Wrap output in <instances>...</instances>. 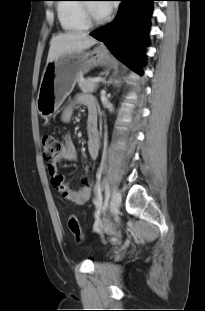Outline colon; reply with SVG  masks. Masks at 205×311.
<instances>
[{"label":"colon","instance_id":"1","mask_svg":"<svg viewBox=\"0 0 205 311\" xmlns=\"http://www.w3.org/2000/svg\"><path fill=\"white\" fill-rule=\"evenodd\" d=\"M42 146L43 158L46 162H50L54 158V156L61 150L62 144L57 138L51 135H45L42 139ZM67 225L75 241L77 243H81L84 239V234L82 232L77 217L70 216L68 218Z\"/></svg>","mask_w":205,"mask_h":311}]
</instances>
